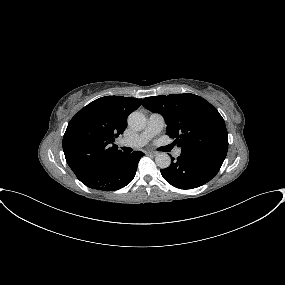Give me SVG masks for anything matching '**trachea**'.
<instances>
[{
	"mask_svg": "<svg viewBox=\"0 0 285 285\" xmlns=\"http://www.w3.org/2000/svg\"><path fill=\"white\" fill-rule=\"evenodd\" d=\"M122 149H123L124 151H129V148H128V147H122Z\"/></svg>",
	"mask_w": 285,
	"mask_h": 285,
	"instance_id": "obj_1",
	"label": "trachea"
}]
</instances>
